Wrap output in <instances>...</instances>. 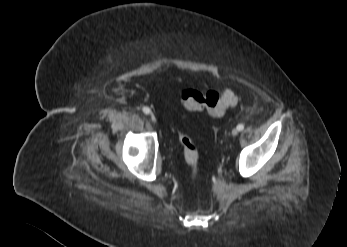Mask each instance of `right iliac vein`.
Listing matches in <instances>:
<instances>
[{
    "label": "right iliac vein",
    "instance_id": "1",
    "mask_svg": "<svg viewBox=\"0 0 347 247\" xmlns=\"http://www.w3.org/2000/svg\"><path fill=\"white\" fill-rule=\"evenodd\" d=\"M149 118L152 122H154V123L156 122V117L153 113L150 114Z\"/></svg>",
    "mask_w": 347,
    "mask_h": 247
}]
</instances>
